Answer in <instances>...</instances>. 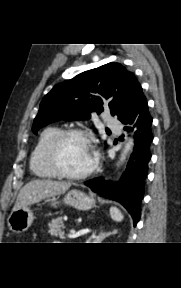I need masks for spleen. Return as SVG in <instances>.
Wrapping results in <instances>:
<instances>
[{
	"label": "spleen",
	"instance_id": "1",
	"mask_svg": "<svg viewBox=\"0 0 181 288\" xmlns=\"http://www.w3.org/2000/svg\"><path fill=\"white\" fill-rule=\"evenodd\" d=\"M110 215L111 218L116 221V222H121L124 219L123 214L121 213V211L116 208V207H111L110 208Z\"/></svg>",
	"mask_w": 181,
	"mask_h": 288
}]
</instances>
